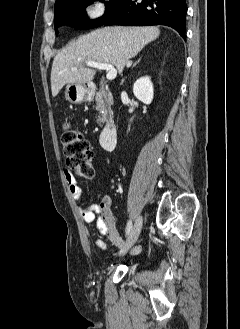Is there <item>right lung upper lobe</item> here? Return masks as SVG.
I'll return each mask as SVG.
<instances>
[{
  "mask_svg": "<svg viewBox=\"0 0 240 329\" xmlns=\"http://www.w3.org/2000/svg\"><path fill=\"white\" fill-rule=\"evenodd\" d=\"M68 0H56L55 2V9L60 7L62 4H64L65 2H67Z\"/></svg>",
  "mask_w": 240,
  "mask_h": 329,
  "instance_id": "right-lung-upper-lobe-1",
  "label": "right lung upper lobe"
}]
</instances>
